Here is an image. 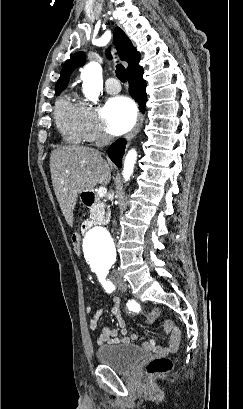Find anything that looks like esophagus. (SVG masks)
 Returning <instances> with one entry per match:
<instances>
[{
  "mask_svg": "<svg viewBox=\"0 0 243 409\" xmlns=\"http://www.w3.org/2000/svg\"><path fill=\"white\" fill-rule=\"evenodd\" d=\"M143 124V114L139 113L136 125L134 128L125 136L126 139H131L133 138L141 129Z\"/></svg>",
  "mask_w": 243,
  "mask_h": 409,
  "instance_id": "obj_1",
  "label": "esophagus"
}]
</instances>
